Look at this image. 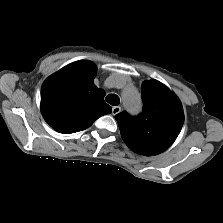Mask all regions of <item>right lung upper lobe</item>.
Returning <instances> with one entry per match:
<instances>
[{
  "label": "right lung upper lobe",
  "mask_w": 223,
  "mask_h": 223,
  "mask_svg": "<svg viewBox=\"0 0 223 223\" xmlns=\"http://www.w3.org/2000/svg\"><path fill=\"white\" fill-rule=\"evenodd\" d=\"M96 71L94 63L81 60L45 80L41 89V112L54 130L75 133L111 113L112 108L104 101V91L93 83Z\"/></svg>",
  "instance_id": "1"
}]
</instances>
